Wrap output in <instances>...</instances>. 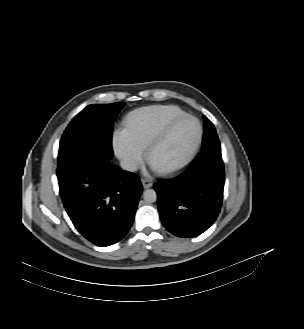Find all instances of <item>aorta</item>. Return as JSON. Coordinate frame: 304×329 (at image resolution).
I'll use <instances>...</instances> for the list:
<instances>
[{"instance_id":"762f6f07","label":"aorta","mask_w":304,"mask_h":329,"mask_svg":"<svg viewBox=\"0 0 304 329\" xmlns=\"http://www.w3.org/2000/svg\"><path fill=\"white\" fill-rule=\"evenodd\" d=\"M143 198L146 203H154L157 200V193L153 189H147L143 192Z\"/></svg>"}]
</instances>
